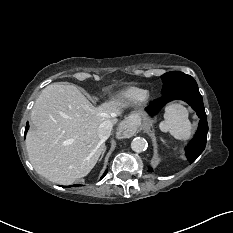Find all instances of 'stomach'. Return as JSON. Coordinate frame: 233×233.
<instances>
[{
  "label": "stomach",
  "mask_w": 233,
  "mask_h": 233,
  "mask_svg": "<svg viewBox=\"0 0 233 233\" xmlns=\"http://www.w3.org/2000/svg\"><path fill=\"white\" fill-rule=\"evenodd\" d=\"M141 120H142V114L140 113L134 114L131 117V122H133L136 127L139 126V124L141 123Z\"/></svg>",
  "instance_id": "obj_1"
}]
</instances>
